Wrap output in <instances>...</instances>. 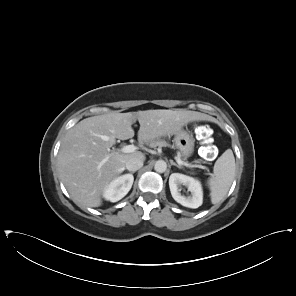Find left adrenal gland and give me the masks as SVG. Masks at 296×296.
<instances>
[{
    "mask_svg": "<svg viewBox=\"0 0 296 296\" xmlns=\"http://www.w3.org/2000/svg\"><path fill=\"white\" fill-rule=\"evenodd\" d=\"M170 163H171V165H174V166L178 167L179 169H181V166H180V165H178V164H176V163H175V162H173L172 160L170 161Z\"/></svg>",
    "mask_w": 296,
    "mask_h": 296,
    "instance_id": "obj_1",
    "label": "left adrenal gland"
}]
</instances>
